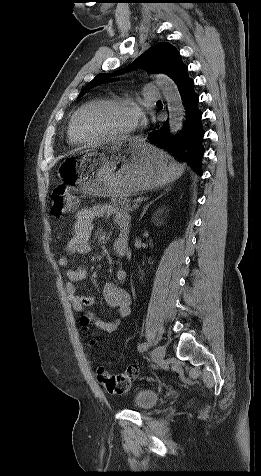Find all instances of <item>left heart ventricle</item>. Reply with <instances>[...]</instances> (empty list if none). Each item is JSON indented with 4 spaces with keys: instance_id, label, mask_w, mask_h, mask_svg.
Wrapping results in <instances>:
<instances>
[{
    "instance_id": "obj_1",
    "label": "left heart ventricle",
    "mask_w": 261,
    "mask_h": 476,
    "mask_svg": "<svg viewBox=\"0 0 261 476\" xmlns=\"http://www.w3.org/2000/svg\"><path fill=\"white\" fill-rule=\"evenodd\" d=\"M137 122L133 109L111 104H99L86 109L79 118L80 131L86 137L118 134Z\"/></svg>"
}]
</instances>
